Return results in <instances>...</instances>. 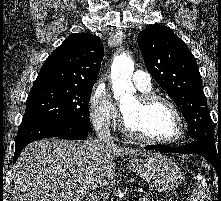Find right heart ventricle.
<instances>
[{"label": "right heart ventricle", "mask_w": 221, "mask_h": 201, "mask_svg": "<svg viewBox=\"0 0 221 201\" xmlns=\"http://www.w3.org/2000/svg\"><path fill=\"white\" fill-rule=\"evenodd\" d=\"M141 91H143L144 93H146V92H149V91H150V89H148V90H141Z\"/></svg>", "instance_id": "obj_1"}]
</instances>
